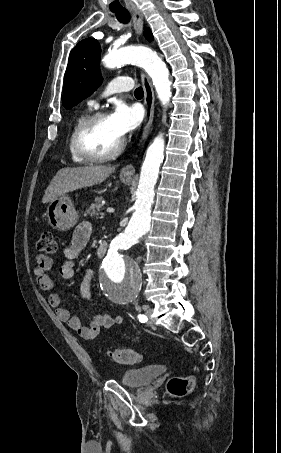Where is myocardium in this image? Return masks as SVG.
<instances>
[{
	"label": "myocardium",
	"instance_id": "obj_1",
	"mask_svg": "<svg viewBox=\"0 0 281 453\" xmlns=\"http://www.w3.org/2000/svg\"><path fill=\"white\" fill-rule=\"evenodd\" d=\"M109 118L105 112H99L88 117L79 127L76 134V149L78 154L87 161L102 162L117 157L125 146V139L122 138L117 146L108 153L94 154L87 147V139L91 130L101 121Z\"/></svg>",
	"mask_w": 281,
	"mask_h": 453
}]
</instances>
